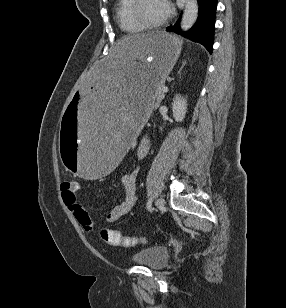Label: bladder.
Listing matches in <instances>:
<instances>
[{
    "label": "bladder",
    "mask_w": 286,
    "mask_h": 308,
    "mask_svg": "<svg viewBox=\"0 0 286 308\" xmlns=\"http://www.w3.org/2000/svg\"><path fill=\"white\" fill-rule=\"evenodd\" d=\"M170 257V250L165 246H151L138 251L132 261L151 269L162 268Z\"/></svg>",
    "instance_id": "31cf9c89"
}]
</instances>
